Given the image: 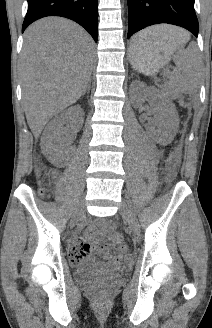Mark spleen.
<instances>
[{"label":"spleen","instance_id":"obj_1","mask_svg":"<svg viewBox=\"0 0 212 328\" xmlns=\"http://www.w3.org/2000/svg\"><path fill=\"white\" fill-rule=\"evenodd\" d=\"M183 39L177 47V53L174 55V61L177 69L170 75V81L176 92L194 93L197 91L200 83L199 64L197 60V47L191 43L186 49L183 48L185 39L178 34L171 26H154L139 32L134 41L140 46L135 50H143L155 46L164 45L166 40Z\"/></svg>","mask_w":212,"mask_h":328}]
</instances>
